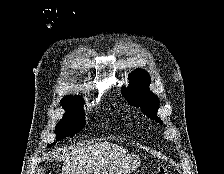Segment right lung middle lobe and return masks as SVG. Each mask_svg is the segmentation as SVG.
<instances>
[{
	"label": "right lung middle lobe",
	"instance_id": "right-lung-middle-lobe-1",
	"mask_svg": "<svg viewBox=\"0 0 224 174\" xmlns=\"http://www.w3.org/2000/svg\"><path fill=\"white\" fill-rule=\"evenodd\" d=\"M66 111L64 118L59 121L55 127V133L57 140H61L65 137L72 136L83 129L86 122L84 119V111L82 109L83 102L75 105L62 106ZM55 143L48 145V147Z\"/></svg>",
	"mask_w": 224,
	"mask_h": 174
}]
</instances>
